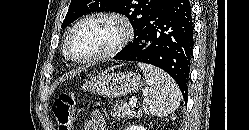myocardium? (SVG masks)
I'll list each match as a JSON object with an SVG mask.
<instances>
[{
    "instance_id": "obj_1",
    "label": "myocardium",
    "mask_w": 249,
    "mask_h": 130,
    "mask_svg": "<svg viewBox=\"0 0 249 130\" xmlns=\"http://www.w3.org/2000/svg\"><path fill=\"white\" fill-rule=\"evenodd\" d=\"M93 19H108L117 22L122 29V33L118 41L108 50L86 57V58H76L74 57L69 50V45L72 39V36L74 35L75 31L85 22L93 20ZM134 34L133 26L129 19L125 17L124 15L113 13V12H93L89 13L82 18H80L70 29V31L67 34V37L64 42V55L66 58L72 62L79 63V64H87V63H93L102 61L111 57H114L117 55L132 39Z\"/></svg>"
}]
</instances>
